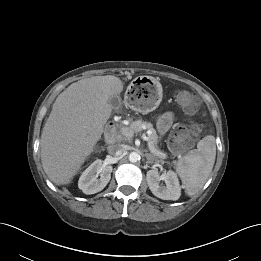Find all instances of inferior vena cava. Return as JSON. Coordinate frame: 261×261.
Returning a JSON list of instances; mask_svg holds the SVG:
<instances>
[{
  "label": "inferior vena cava",
  "mask_w": 261,
  "mask_h": 261,
  "mask_svg": "<svg viewBox=\"0 0 261 261\" xmlns=\"http://www.w3.org/2000/svg\"><path fill=\"white\" fill-rule=\"evenodd\" d=\"M126 151L125 145L113 144L108 146V152L111 155L120 156Z\"/></svg>",
  "instance_id": "obj_1"
}]
</instances>
